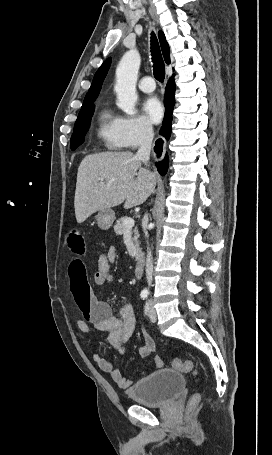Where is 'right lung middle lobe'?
Masks as SVG:
<instances>
[{
  "mask_svg": "<svg viewBox=\"0 0 272 455\" xmlns=\"http://www.w3.org/2000/svg\"><path fill=\"white\" fill-rule=\"evenodd\" d=\"M94 102L83 104L75 122L73 135L71 137V149L75 150L85 140V134L89 129L92 114L94 112Z\"/></svg>",
  "mask_w": 272,
  "mask_h": 455,
  "instance_id": "right-lung-middle-lobe-1",
  "label": "right lung middle lobe"
}]
</instances>
